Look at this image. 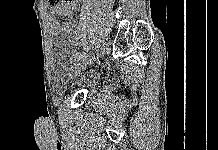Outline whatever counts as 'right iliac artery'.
Segmentation results:
<instances>
[{
	"label": "right iliac artery",
	"mask_w": 218,
	"mask_h": 150,
	"mask_svg": "<svg viewBox=\"0 0 218 150\" xmlns=\"http://www.w3.org/2000/svg\"><path fill=\"white\" fill-rule=\"evenodd\" d=\"M92 46L95 44L93 41L90 43ZM89 48L87 47L85 50L87 51ZM84 54L83 50H80L79 53H76L75 59L81 57Z\"/></svg>",
	"instance_id": "right-iliac-artery-1"
}]
</instances>
